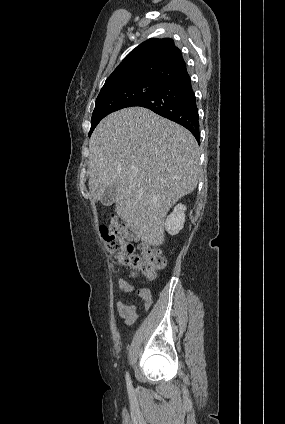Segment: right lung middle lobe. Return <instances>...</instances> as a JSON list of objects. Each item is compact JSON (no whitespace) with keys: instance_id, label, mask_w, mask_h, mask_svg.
Listing matches in <instances>:
<instances>
[{"instance_id":"obj_1","label":"right lung middle lobe","mask_w":285,"mask_h":424,"mask_svg":"<svg viewBox=\"0 0 285 424\" xmlns=\"http://www.w3.org/2000/svg\"><path fill=\"white\" fill-rule=\"evenodd\" d=\"M163 84L158 81H140L100 91L91 118L89 136L105 116L114 111L130 107L132 103L155 92Z\"/></svg>"}]
</instances>
